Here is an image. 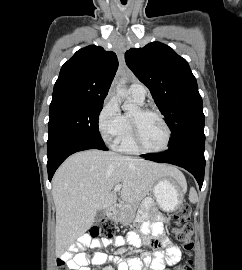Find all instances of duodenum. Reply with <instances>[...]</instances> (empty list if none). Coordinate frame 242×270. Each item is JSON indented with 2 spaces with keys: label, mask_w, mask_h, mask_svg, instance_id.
<instances>
[{
  "label": "duodenum",
  "mask_w": 242,
  "mask_h": 270,
  "mask_svg": "<svg viewBox=\"0 0 242 270\" xmlns=\"http://www.w3.org/2000/svg\"><path fill=\"white\" fill-rule=\"evenodd\" d=\"M115 209L114 208H110L108 211H107V215L109 217H113L115 215Z\"/></svg>",
  "instance_id": "duodenum-1"
}]
</instances>
